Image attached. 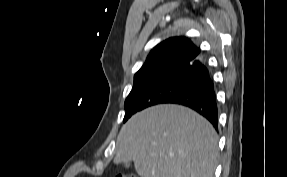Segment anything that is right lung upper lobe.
Returning a JSON list of instances; mask_svg holds the SVG:
<instances>
[{
    "instance_id": "right-lung-upper-lobe-1",
    "label": "right lung upper lobe",
    "mask_w": 287,
    "mask_h": 177,
    "mask_svg": "<svg viewBox=\"0 0 287 177\" xmlns=\"http://www.w3.org/2000/svg\"><path fill=\"white\" fill-rule=\"evenodd\" d=\"M200 49L186 37H172L158 44L150 52L142 67H147L167 59H177L181 64L192 62L198 58Z\"/></svg>"
}]
</instances>
